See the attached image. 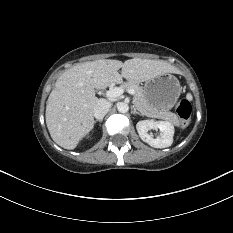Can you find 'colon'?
<instances>
[{
  "instance_id": "1",
  "label": "colon",
  "mask_w": 233,
  "mask_h": 233,
  "mask_svg": "<svg viewBox=\"0 0 233 233\" xmlns=\"http://www.w3.org/2000/svg\"><path fill=\"white\" fill-rule=\"evenodd\" d=\"M176 112L183 127L188 126L192 114V105L188 99H181L176 105Z\"/></svg>"
}]
</instances>
